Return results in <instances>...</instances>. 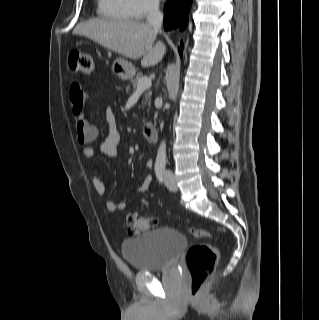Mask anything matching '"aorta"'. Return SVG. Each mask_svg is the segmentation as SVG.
Listing matches in <instances>:
<instances>
[{
    "mask_svg": "<svg viewBox=\"0 0 319 320\" xmlns=\"http://www.w3.org/2000/svg\"><path fill=\"white\" fill-rule=\"evenodd\" d=\"M167 155H166V143L161 142L157 151L156 165L164 166L166 164Z\"/></svg>",
    "mask_w": 319,
    "mask_h": 320,
    "instance_id": "762f6f07",
    "label": "aorta"
}]
</instances>
